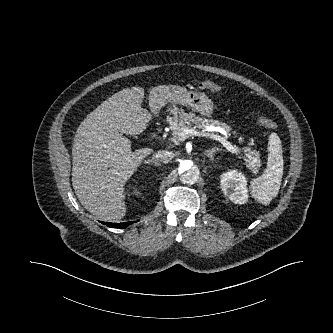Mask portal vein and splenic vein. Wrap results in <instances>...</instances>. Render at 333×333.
I'll list each match as a JSON object with an SVG mask.
<instances>
[{
    "instance_id": "18ae733b",
    "label": "portal vein and splenic vein",
    "mask_w": 333,
    "mask_h": 333,
    "mask_svg": "<svg viewBox=\"0 0 333 333\" xmlns=\"http://www.w3.org/2000/svg\"><path fill=\"white\" fill-rule=\"evenodd\" d=\"M180 137L182 138H186L189 135H195V136H206V137H211L215 140H218L219 142H221L223 144V146L230 152L232 153H239V149L236 146H233L229 141H227L225 138L219 136V135H214V134H209V133H204V132H200L197 131L195 129H184L181 133L178 134Z\"/></svg>"
}]
</instances>
